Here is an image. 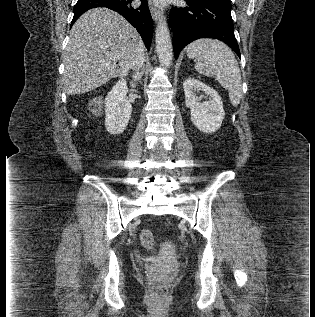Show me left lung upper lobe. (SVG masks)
<instances>
[{"mask_svg": "<svg viewBox=\"0 0 315 317\" xmlns=\"http://www.w3.org/2000/svg\"><path fill=\"white\" fill-rule=\"evenodd\" d=\"M218 2H223V3H229V4H231L230 3V0H217Z\"/></svg>", "mask_w": 315, "mask_h": 317, "instance_id": "5c2ea615", "label": "left lung upper lobe"}]
</instances>
